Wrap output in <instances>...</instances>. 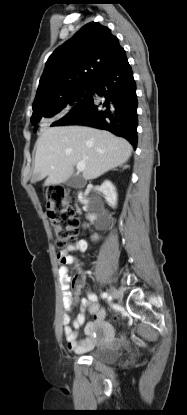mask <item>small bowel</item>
Segmentation results:
<instances>
[{"label": "small bowel", "mask_w": 187, "mask_h": 415, "mask_svg": "<svg viewBox=\"0 0 187 415\" xmlns=\"http://www.w3.org/2000/svg\"><path fill=\"white\" fill-rule=\"evenodd\" d=\"M86 249L87 242L80 239L61 249L58 252V258L66 264H72L74 257L70 253L84 252ZM77 271L81 272V269L77 267ZM59 277L63 290V306L66 311L62 317V325L68 348L76 353H84L95 347L115 346L118 340L114 336V329L105 320V310L98 303L94 292L88 291L86 297L80 300L81 311L72 322L70 321L68 313L78 301V297L76 292L71 289L69 272L65 266L59 269ZM83 284V280L78 282V286ZM85 311L89 312L93 320L85 326L86 338L79 340L77 332L85 322Z\"/></svg>", "instance_id": "small-bowel-1"}]
</instances>
